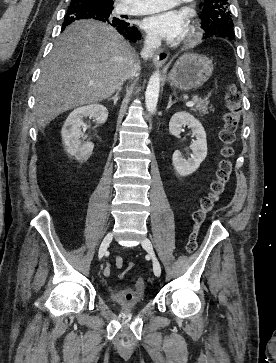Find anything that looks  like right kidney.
I'll return each instance as SVG.
<instances>
[{
	"label": "right kidney",
	"instance_id": "right-kidney-1",
	"mask_svg": "<svg viewBox=\"0 0 276 363\" xmlns=\"http://www.w3.org/2000/svg\"><path fill=\"white\" fill-rule=\"evenodd\" d=\"M94 118L97 124H103L108 118V110L101 104H90L73 110L61 130L63 145L67 153L80 162L87 161L92 154L94 144L82 142L84 135L80 127L84 125L83 118Z\"/></svg>",
	"mask_w": 276,
	"mask_h": 363
}]
</instances>
